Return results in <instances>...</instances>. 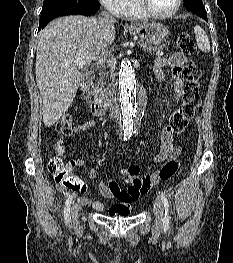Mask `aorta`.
Masks as SVG:
<instances>
[{
	"instance_id": "obj_1",
	"label": "aorta",
	"mask_w": 233,
	"mask_h": 263,
	"mask_svg": "<svg viewBox=\"0 0 233 263\" xmlns=\"http://www.w3.org/2000/svg\"><path fill=\"white\" fill-rule=\"evenodd\" d=\"M146 92L131 64L123 60L119 69V108L123 125L133 127L142 117Z\"/></svg>"
}]
</instances>
